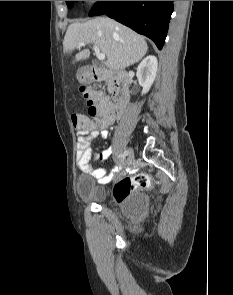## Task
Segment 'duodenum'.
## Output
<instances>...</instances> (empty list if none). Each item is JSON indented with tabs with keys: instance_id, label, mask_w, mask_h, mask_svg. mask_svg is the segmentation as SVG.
Returning a JSON list of instances; mask_svg holds the SVG:
<instances>
[{
	"instance_id": "obj_1",
	"label": "duodenum",
	"mask_w": 233,
	"mask_h": 295,
	"mask_svg": "<svg viewBox=\"0 0 233 295\" xmlns=\"http://www.w3.org/2000/svg\"><path fill=\"white\" fill-rule=\"evenodd\" d=\"M88 78L92 81L110 79L111 90L114 96L115 109L118 115L122 114L129 102L128 76L122 71H109L106 69L91 67L88 70Z\"/></svg>"
}]
</instances>
